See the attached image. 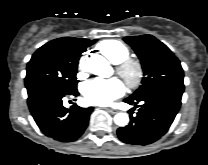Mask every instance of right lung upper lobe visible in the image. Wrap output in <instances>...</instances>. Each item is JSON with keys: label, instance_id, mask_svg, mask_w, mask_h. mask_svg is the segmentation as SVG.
I'll list each match as a JSON object with an SVG mask.
<instances>
[{"label": "right lung upper lobe", "instance_id": "right-lung-upper-lobe-1", "mask_svg": "<svg viewBox=\"0 0 208 165\" xmlns=\"http://www.w3.org/2000/svg\"><path fill=\"white\" fill-rule=\"evenodd\" d=\"M58 40H61L63 42L69 43V44H94L96 40H88V39H82V38H71V37H63L59 38Z\"/></svg>", "mask_w": 208, "mask_h": 165}]
</instances>
